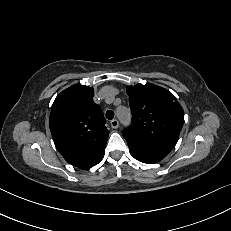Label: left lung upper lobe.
Segmentation results:
<instances>
[{"instance_id": "obj_1", "label": "left lung upper lobe", "mask_w": 231, "mask_h": 231, "mask_svg": "<svg viewBox=\"0 0 231 231\" xmlns=\"http://www.w3.org/2000/svg\"><path fill=\"white\" fill-rule=\"evenodd\" d=\"M132 111V124L123 130L129 148L163 159L178 140L184 112L175 96L154 84L126 89Z\"/></svg>"}]
</instances>
